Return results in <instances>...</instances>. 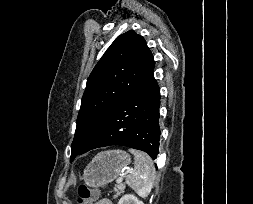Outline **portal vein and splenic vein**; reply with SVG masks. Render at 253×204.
<instances>
[{
	"label": "portal vein and splenic vein",
	"instance_id": "18ae733b",
	"mask_svg": "<svg viewBox=\"0 0 253 204\" xmlns=\"http://www.w3.org/2000/svg\"><path fill=\"white\" fill-rule=\"evenodd\" d=\"M132 169H128L125 173H123L121 176H120V178L117 180V183L119 184V183H121L122 182V180H123V177L126 175V174H128V173H132Z\"/></svg>",
	"mask_w": 253,
	"mask_h": 204
}]
</instances>
